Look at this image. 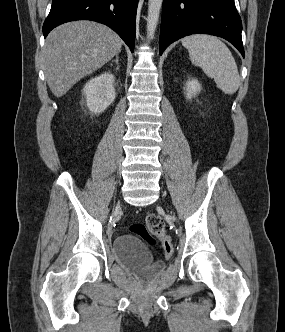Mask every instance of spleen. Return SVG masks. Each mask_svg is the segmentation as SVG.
<instances>
[{
    "instance_id": "obj_1",
    "label": "spleen",
    "mask_w": 285,
    "mask_h": 332,
    "mask_svg": "<svg viewBox=\"0 0 285 332\" xmlns=\"http://www.w3.org/2000/svg\"><path fill=\"white\" fill-rule=\"evenodd\" d=\"M182 45L188 50L191 62L213 78L225 94L238 90L240 77L235 59L221 40L212 35L195 34L183 38Z\"/></svg>"
}]
</instances>
